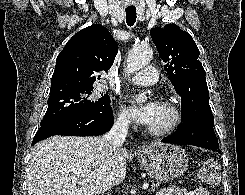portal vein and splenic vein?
<instances>
[{
    "label": "portal vein and splenic vein",
    "instance_id": "obj_1",
    "mask_svg": "<svg viewBox=\"0 0 245 195\" xmlns=\"http://www.w3.org/2000/svg\"><path fill=\"white\" fill-rule=\"evenodd\" d=\"M87 182H88L87 180H82V181L79 182V184L84 185V184H87ZM148 186H149V183H145L143 185V189L148 188Z\"/></svg>",
    "mask_w": 245,
    "mask_h": 195
}]
</instances>
